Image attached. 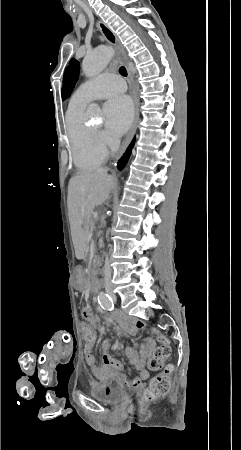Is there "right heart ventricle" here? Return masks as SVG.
Wrapping results in <instances>:
<instances>
[{"label":"right heart ventricle","instance_id":"e07e8e85","mask_svg":"<svg viewBox=\"0 0 241 450\" xmlns=\"http://www.w3.org/2000/svg\"><path fill=\"white\" fill-rule=\"evenodd\" d=\"M86 102L72 99L65 117V130L70 144V151L78 168L100 166L105 159V151L101 141L86 142L90 137L89 127L84 123L83 112Z\"/></svg>","mask_w":241,"mask_h":450}]
</instances>
